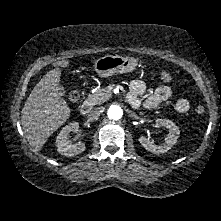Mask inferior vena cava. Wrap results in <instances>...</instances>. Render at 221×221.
Segmentation results:
<instances>
[{"label":"inferior vena cava","instance_id":"1","mask_svg":"<svg viewBox=\"0 0 221 221\" xmlns=\"http://www.w3.org/2000/svg\"><path fill=\"white\" fill-rule=\"evenodd\" d=\"M101 109L99 107L92 109L88 114V120L93 122L98 119Z\"/></svg>","mask_w":221,"mask_h":221}]
</instances>
